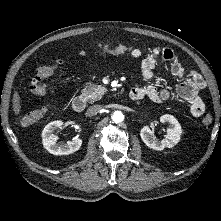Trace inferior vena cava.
<instances>
[{
	"mask_svg": "<svg viewBox=\"0 0 221 221\" xmlns=\"http://www.w3.org/2000/svg\"><path fill=\"white\" fill-rule=\"evenodd\" d=\"M102 109L100 105H93L87 109L86 115L91 117L97 115V113Z\"/></svg>",
	"mask_w": 221,
	"mask_h": 221,
	"instance_id": "obj_1",
	"label": "inferior vena cava"
}]
</instances>
